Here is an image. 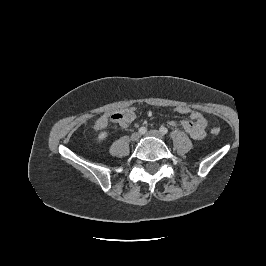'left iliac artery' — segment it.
Returning a JSON list of instances; mask_svg holds the SVG:
<instances>
[{
    "label": "left iliac artery",
    "instance_id": "obj_1",
    "mask_svg": "<svg viewBox=\"0 0 266 266\" xmlns=\"http://www.w3.org/2000/svg\"><path fill=\"white\" fill-rule=\"evenodd\" d=\"M159 130H160V132L162 134H167L168 133V129L166 127H164V126H161Z\"/></svg>",
    "mask_w": 266,
    "mask_h": 266
}]
</instances>
